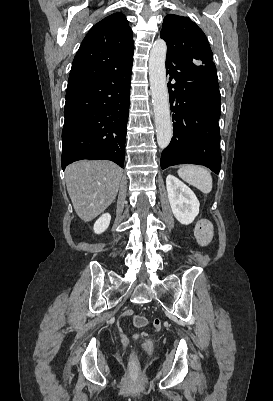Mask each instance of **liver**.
Masks as SVG:
<instances>
[{
  "label": "liver",
  "mask_w": 273,
  "mask_h": 401,
  "mask_svg": "<svg viewBox=\"0 0 273 401\" xmlns=\"http://www.w3.org/2000/svg\"><path fill=\"white\" fill-rule=\"evenodd\" d=\"M122 174V168L110 160H78L67 166V190L82 221H92L113 203Z\"/></svg>",
  "instance_id": "liver-1"
}]
</instances>
